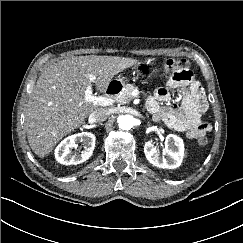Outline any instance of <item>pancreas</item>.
I'll use <instances>...</instances> for the list:
<instances>
[{"label": "pancreas", "mask_w": 243, "mask_h": 243, "mask_svg": "<svg viewBox=\"0 0 243 243\" xmlns=\"http://www.w3.org/2000/svg\"><path fill=\"white\" fill-rule=\"evenodd\" d=\"M136 90V87L131 85V84H127L123 90L121 91L120 94L114 96V99L121 103V104H125L128 103L131 99H132V92Z\"/></svg>", "instance_id": "cf45deb5"}]
</instances>
